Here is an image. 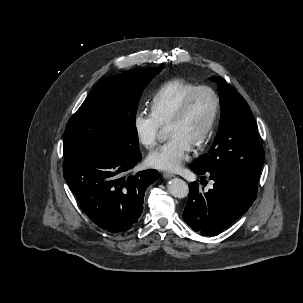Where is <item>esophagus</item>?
Listing matches in <instances>:
<instances>
[{
  "instance_id": "obj_1",
  "label": "esophagus",
  "mask_w": 303,
  "mask_h": 303,
  "mask_svg": "<svg viewBox=\"0 0 303 303\" xmlns=\"http://www.w3.org/2000/svg\"><path fill=\"white\" fill-rule=\"evenodd\" d=\"M175 175H173V174H171V173H164L163 174V177L165 178V179H170V178H173Z\"/></svg>"
}]
</instances>
